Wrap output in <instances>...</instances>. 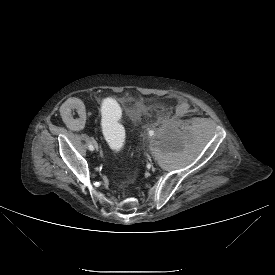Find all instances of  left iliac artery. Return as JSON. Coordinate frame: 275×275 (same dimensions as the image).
<instances>
[{"label":"left iliac artery","instance_id":"44dca946","mask_svg":"<svg viewBox=\"0 0 275 275\" xmlns=\"http://www.w3.org/2000/svg\"><path fill=\"white\" fill-rule=\"evenodd\" d=\"M149 135H150V136L154 135V131H153V130H150V131H149Z\"/></svg>","mask_w":275,"mask_h":275}]
</instances>
